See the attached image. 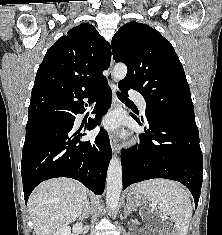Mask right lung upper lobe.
Wrapping results in <instances>:
<instances>
[{"label": "right lung upper lobe", "instance_id": "cb5924a9", "mask_svg": "<svg viewBox=\"0 0 222 235\" xmlns=\"http://www.w3.org/2000/svg\"><path fill=\"white\" fill-rule=\"evenodd\" d=\"M111 47L95 27L82 23L48 49L39 66L28 121L51 118L61 101L90 91L106 80Z\"/></svg>", "mask_w": 222, "mask_h": 235}]
</instances>
